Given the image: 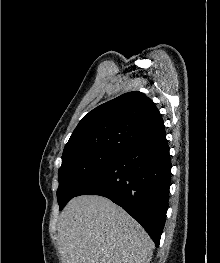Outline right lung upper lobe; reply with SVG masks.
I'll return each mask as SVG.
<instances>
[{
    "mask_svg": "<svg viewBox=\"0 0 220 263\" xmlns=\"http://www.w3.org/2000/svg\"><path fill=\"white\" fill-rule=\"evenodd\" d=\"M164 133V122L154 102L145 94L133 91L86 114L72 133L63 154L91 148L124 150L137 141Z\"/></svg>",
    "mask_w": 220,
    "mask_h": 263,
    "instance_id": "1",
    "label": "right lung upper lobe"
}]
</instances>
